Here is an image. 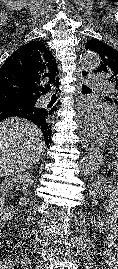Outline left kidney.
Masks as SVG:
<instances>
[{
    "label": "left kidney",
    "mask_w": 118,
    "mask_h": 269,
    "mask_svg": "<svg viewBox=\"0 0 118 269\" xmlns=\"http://www.w3.org/2000/svg\"><path fill=\"white\" fill-rule=\"evenodd\" d=\"M100 191L108 194V214L104 219L92 217L91 223L95 230L103 233L114 227L118 220V186L109 183L103 176H98L90 186L89 197L96 199Z\"/></svg>",
    "instance_id": "obj_1"
}]
</instances>
